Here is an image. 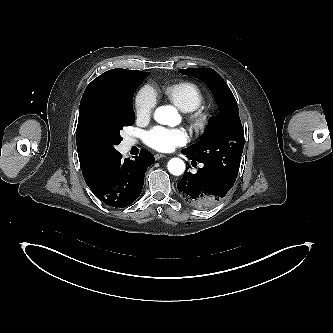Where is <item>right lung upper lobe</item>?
I'll return each instance as SVG.
<instances>
[{
    "label": "right lung upper lobe",
    "mask_w": 333,
    "mask_h": 333,
    "mask_svg": "<svg viewBox=\"0 0 333 333\" xmlns=\"http://www.w3.org/2000/svg\"><path fill=\"white\" fill-rule=\"evenodd\" d=\"M140 71L116 68L95 78L85 89L79 107L76 143L81 170L87 185L95 181L113 158L98 155L89 142L91 123L100 101L110 92L120 90Z\"/></svg>",
    "instance_id": "obj_1"
}]
</instances>
